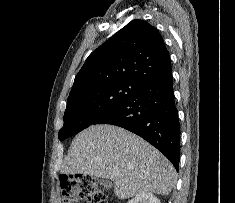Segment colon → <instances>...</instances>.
<instances>
[{"label": "colon", "mask_w": 235, "mask_h": 203, "mask_svg": "<svg viewBox=\"0 0 235 203\" xmlns=\"http://www.w3.org/2000/svg\"><path fill=\"white\" fill-rule=\"evenodd\" d=\"M62 203H107V191L89 175H62L60 177Z\"/></svg>", "instance_id": "colon-1"}]
</instances>
